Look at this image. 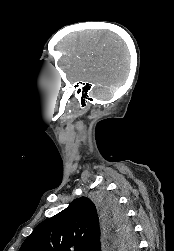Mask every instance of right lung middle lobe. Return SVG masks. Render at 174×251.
<instances>
[{"label":"right lung middle lobe","instance_id":"obj_1","mask_svg":"<svg viewBox=\"0 0 174 251\" xmlns=\"http://www.w3.org/2000/svg\"><path fill=\"white\" fill-rule=\"evenodd\" d=\"M93 202L98 207L105 224L111 229L116 244L123 250H135L132 228L128 222L124 209L117 200L107 192H98L93 196Z\"/></svg>","mask_w":174,"mask_h":251}]
</instances>
